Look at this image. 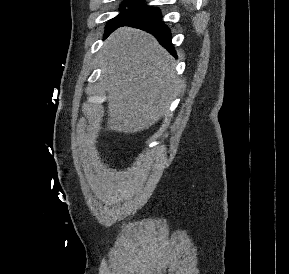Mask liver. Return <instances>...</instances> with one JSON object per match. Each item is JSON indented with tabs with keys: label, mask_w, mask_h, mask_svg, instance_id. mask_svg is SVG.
Here are the masks:
<instances>
[{
	"label": "liver",
	"mask_w": 289,
	"mask_h": 274,
	"mask_svg": "<svg viewBox=\"0 0 289 274\" xmlns=\"http://www.w3.org/2000/svg\"><path fill=\"white\" fill-rule=\"evenodd\" d=\"M102 55L107 129L125 134L148 129L168 111L179 91L173 58L153 36L128 27L108 37Z\"/></svg>",
	"instance_id": "obj_1"
}]
</instances>
